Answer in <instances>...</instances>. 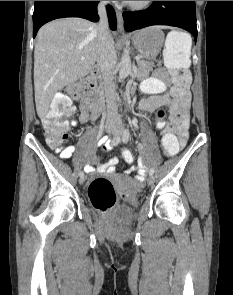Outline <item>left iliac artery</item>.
<instances>
[{"instance_id":"left-iliac-artery-1","label":"left iliac artery","mask_w":233,"mask_h":295,"mask_svg":"<svg viewBox=\"0 0 233 295\" xmlns=\"http://www.w3.org/2000/svg\"><path fill=\"white\" fill-rule=\"evenodd\" d=\"M129 136H130V132H129V130H128V129H125L124 132H123V135H122V141H123L124 143H127L128 140H129ZM153 173H154V169H150V170H149V175L152 176Z\"/></svg>"}]
</instances>
